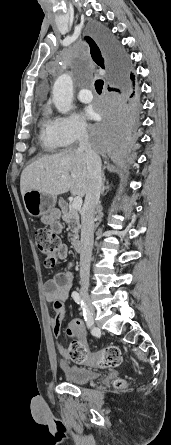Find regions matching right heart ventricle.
Masks as SVG:
<instances>
[{"label":"right heart ventricle","instance_id":"1","mask_svg":"<svg viewBox=\"0 0 171 445\" xmlns=\"http://www.w3.org/2000/svg\"><path fill=\"white\" fill-rule=\"evenodd\" d=\"M39 139L42 147L50 152L56 151L64 145L57 134L54 121L46 116L40 122Z\"/></svg>","mask_w":171,"mask_h":445}]
</instances>
